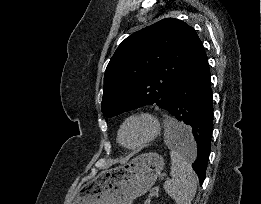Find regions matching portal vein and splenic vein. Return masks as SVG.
I'll use <instances>...</instances> for the list:
<instances>
[{"mask_svg":"<svg viewBox=\"0 0 261 204\" xmlns=\"http://www.w3.org/2000/svg\"><path fill=\"white\" fill-rule=\"evenodd\" d=\"M154 196V193L151 191L148 195V197L146 198V200L144 201V204H150L152 197Z\"/></svg>","mask_w":261,"mask_h":204,"instance_id":"obj_1","label":"portal vein and splenic vein"}]
</instances>
